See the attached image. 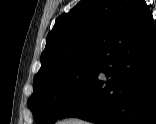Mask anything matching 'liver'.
<instances>
[{
	"label": "liver",
	"instance_id": "6515ba94",
	"mask_svg": "<svg viewBox=\"0 0 156 124\" xmlns=\"http://www.w3.org/2000/svg\"><path fill=\"white\" fill-rule=\"evenodd\" d=\"M57 124H91V123L79 119H67L59 121Z\"/></svg>",
	"mask_w": 156,
	"mask_h": 124
}]
</instances>
